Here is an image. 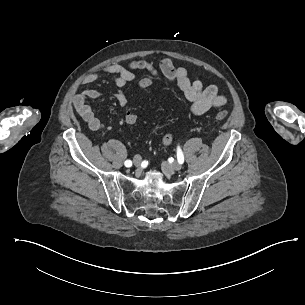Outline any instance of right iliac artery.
I'll use <instances>...</instances> for the list:
<instances>
[{"mask_svg":"<svg viewBox=\"0 0 305 305\" xmlns=\"http://www.w3.org/2000/svg\"><path fill=\"white\" fill-rule=\"evenodd\" d=\"M124 164H125L126 167H131L132 166V161L126 160Z\"/></svg>","mask_w":305,"mask_h":305,"instance_id":"1","label":"right iliac artery"}]
</instances>
